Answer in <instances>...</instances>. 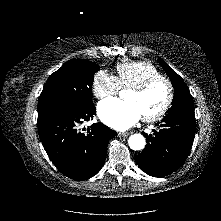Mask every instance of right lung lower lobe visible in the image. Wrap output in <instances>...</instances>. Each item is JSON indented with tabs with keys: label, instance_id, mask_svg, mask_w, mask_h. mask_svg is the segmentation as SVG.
Here are the masks:
<instances>
[{
	"label": "right lung lower lobe",
	"instance_id": "1",
	"mask_svg": "<svg viewBox=\"0 0 221 221\" xmlns=\"http://www.w3.org/2000/svg\"><path fill=\"white\" fill-rule=\"evenodd\" d=\"M96 114L92 101L63 104L38 112V132L53 164L65 176L85 180L94 176L106 158L107 146L117 132L102 123L83 132L82 124Z\"/></svg>",
	"mask_w": 221,
	"mask_h": 221
}]
</instances>
